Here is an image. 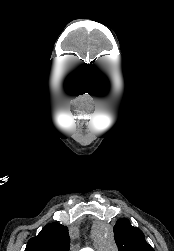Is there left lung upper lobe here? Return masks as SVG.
<instances>
[{"instance_id":"left-lung-upper-lobe-1","label":"left lung upper lobe","mask_w":174,"mask_h":251,"mask_svg":"<svg viewBox=\"0 0 174 251\" xmlns=\"http://www.w3.org/2000/svg\"><path fill=\"white\" fill-rule=\"evenodd\" d=\"M113 231L119 251H154L146 242L143 232L126 218L117 220Z\"/></svg>"}]
</instances>
